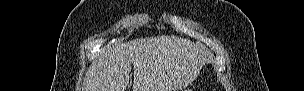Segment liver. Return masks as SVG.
Returning <instances> with one entry per match:
<instances>
[{"instance_id": "liver-1", "label": "liver", "mask_w": 304, "mask_h": 91, "mask_svg": "<svg viewBox=\"0 0 304 91\" xmlns=\"http://www.w3.org/2000/svg\"><path fill=\"white\" fill-rule=\"evenodd\" d=\"M208 61L202 46L161 35L119 44L101 55L86 73L83 91H126L134 66L133 91H179Z\"/></svg>"}]
</instances>
